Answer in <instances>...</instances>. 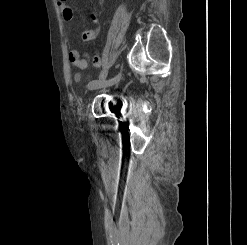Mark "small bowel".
I'll list each match as a JSON object with an SVG mask.
<instances>
[{
  "instance_id": "c3829d8e",
  "label": "small bowel",
  "mask_w": 247,
  "mask_h": 245,
  "mask_svg": "<svg viewBox=\"0 0 247 245\" xmlns=\"http://www.w3.org/2000/svg\"><path fill=\"white\" fill-rule=\"evenodd\" d=\"M57 4L59 8L61 9L63 18L66 21H71L73 19V11L72 9L67 5V0H57ZM92 20L97 23V17L95 14H91ZM101 31V28L99 25H96V27L90 31L83 32L79 35V38L83 41L92 40L99 36ZM69 61L72 65L84 69L89 67L90 65H93L95 67H98L101 65V58L99 55H95L93 57H88L86 55H82L79 50H72L69 53Z\"/></svg>"
}]
</instances>
